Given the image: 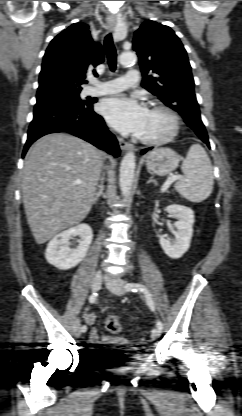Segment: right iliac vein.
I'll return each instance as SVG.
<instances>
[{
	"label": "right iliac vein",
	"mask_w": 242,
	"mask_h": 416,
	"mask_svg": "<svg viewBox=\"0 0 242 416\" xmlns=\"http://www.w3.org/2000/svg\"><path fill=\"white\" fill-rule=\"evenodd\" d=\"M103 281V275L101 272H96L95 275L92 278V282H91V289L93 292H96L100 289L101 284ZM73 331L76 337H80L81 336V327H80V321L76 320L74 327H73Z\"/></svg>",
	"instance_id": "63e3f726"
}]
</instances>
